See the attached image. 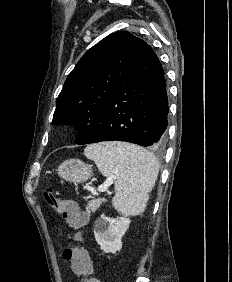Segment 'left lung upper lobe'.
<instances>
[{
  "label": "left lung upper lobe",
  "instance_id": "left-lung-upper-lobe-1",
  "mask_svg": "<svg viewBox=\"0 0 232 282\" xmlns=\"http://www.w3.org/2000/svg\"><path fill=\"white\" fill-rule=\"evenodd\" d=\"M146 45L131 33L120 31L89 49L57 97L52 124L75 125L78 139L96 126L105 106L129 77Z\"/></svg>",
  "mask_w": 232,
  "mask_h": 282
}]
</instances>
